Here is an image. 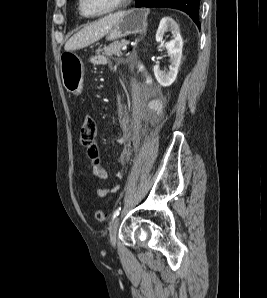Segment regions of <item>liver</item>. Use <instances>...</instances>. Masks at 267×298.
Segmentation results:
<instances>
[{"label": "liver", "mask_w": 267, "mask_h": 298, "mask_svg": "<svg viewBox=\"0 0 267 298\" xmlns=\"http://www.w3.org/2000/svg\"><path fill=\"white\" fill-rule=\"evenodd\" d=\"M121 16L122 12L109 14L85 26L66 42L64 49L66 51L82 49L98 41L108 33Z\"/></svg>", "instance_id": "1"}]
</instances>
